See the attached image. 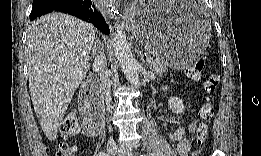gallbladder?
<instances>
[{
	"label": "gallbladder",
	"mask_w": 261,
	"mask_h": 156,
	"mask_svg": "<svg viewBox=\"0 0 261 156\" xmlns=\"http://www.w3.org/2000/svg\"><path fill=\"white\" fill-rule=\"evenodd\" d=\"M81 82H86V79H82Z\"/></svg>",
	"instance_id": "1"
}]
</instances>
